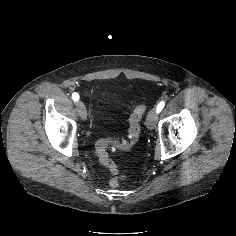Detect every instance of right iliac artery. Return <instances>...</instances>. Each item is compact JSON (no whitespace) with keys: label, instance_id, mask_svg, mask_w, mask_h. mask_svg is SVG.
Listing matches in <instances>:
<instances>
[{"label":"right iliac artery","instance_id":"1","mask_svg":"<svg viewBox=\"0 0 236 236\" xmlns=\"http://www.w3.org/2000/svg\"><path fill=\"white\" fill-rule=\"evenodd\" d=\"M72 99H73L74 101H78V100H79V95H78L77 93H73V94H72Z\"/></svg>","mask_w":236,"mask_h":236}]
</instances>
